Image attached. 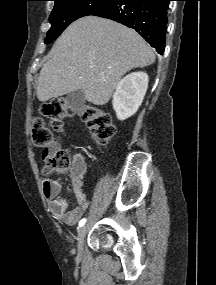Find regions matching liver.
Here are the masks:
<instances>
[{
    "instance_id": "liver-1",
    "label": "liver",
    "mask_w": 216,
    "mask_h": 285,
    "mask_svg": "<svg viewBox=\"0 0 216 285\" xmlns=\"http://www.w3.org/2000/svg\"><path fill=\"white\" fill-rule=\"evenodd\" d=\"M155 62V54L133 29L95 16L76 20L48 54L37 86L41 102L81 89L85 99L106 104L121 77Z\"/></svg>"
}]
</instances>
